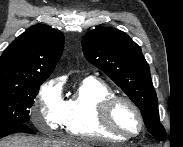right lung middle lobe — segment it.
Segmentation results:
<instances>
[{
  "label": "right lung middle lobe",
  "instance_id": "1",
  "mask_svg": "<svg viewBox=\"0 0 183 147\" xmlns=\"http://www.w3.org/2000/svg\"><path fill=\"white\" fill-rule=\"evenodd\" d=\"M46 79H35L23 84L0 85V132L9 126L26 124L29 109Z\"/></svg>",
  "mask_w": 183,
  "mask_h": 147
}]
</instances>
